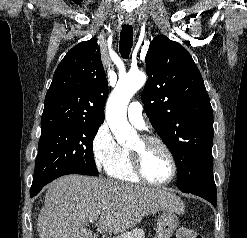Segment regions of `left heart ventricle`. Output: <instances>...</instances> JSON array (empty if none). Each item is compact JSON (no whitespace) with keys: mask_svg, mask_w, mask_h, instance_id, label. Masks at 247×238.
I'll return each instance as SVG.
<instances>
[{"mask_svg":"<svg viewBox=\"0 0 247 238\" xmlns=\"http://www.w3.org/2000/svg\"><path fill=\"white\" fill-rule=\"evenodd\" d=\"M131 149L141 152L143 170L150 180L159 182L166 180L170 176V160L159 145H142L140 139H137Z\"/></svg>","mask_w":247,"mask_h":238,"instance_id":"1","label":"left heart ventricle"}]
</instances>
